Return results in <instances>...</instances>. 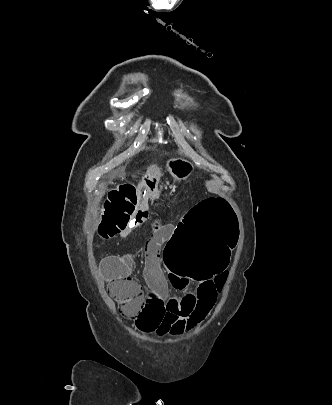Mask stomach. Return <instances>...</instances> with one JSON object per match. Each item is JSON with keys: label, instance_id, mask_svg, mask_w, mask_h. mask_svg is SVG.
Wrapping results in <instances>:
<instances>
[{"label": "stomach", "instance_id": "stomach-1", "mask_svg": "<svg viewBox=\"0 0 332 405\" xmlns=\"http://www.w3.org/2000/svg\"><path fill=\"white\" fill-rule=\"evenodd\" d=\"M166 167L171 175L176 180H183L187 178L193 171V166L190 162L182 158L170 159L166 163Z\"/></svg>", "mask_w": 332, "mask_h": 405}]
</instances>
